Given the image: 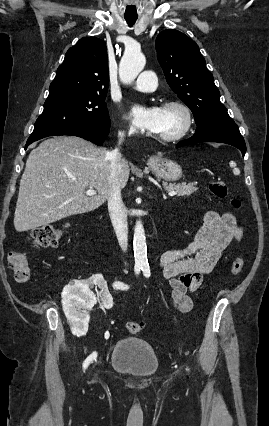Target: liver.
<instances>
[{
    "label": "liver",
    "mask_w": 269,
    "mask_h": 426,
    "mask_svg": "<svg viewBox=\"0 0 269 426\" xmlns=\"http://www.w3.org/2000/svg\"><path fill=\"white\" fill-rule=\"evenodd\" d=\"M109 151L76 136L53 137L33 149L20 180L14 214L16 231L34 230L71 215L93 211L107 199ZM122 159L121 187L129 178ZM87 188L97 194H85Z\"/></svg>",
    "instance_id": "obj_1"
}]
</instances>
